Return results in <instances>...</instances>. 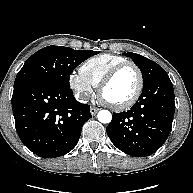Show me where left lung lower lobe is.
I'll return each mask as SVG.
<instances>
[{"label":"left lung lower lobe","instance_id":"obj_1","mask_svg":"<svg viewBox=\"0 0 193 193\" xmlns=\"http://www.w3.org/2000/svg\"><path fill=\"white\" fill-rule=\"evenodd\" d=\"M175 112L174 90L167 73L157 76L127 112L113 113L106 131L124 153L145 157L155 153L168 138Z\"/></svg>","mask_w":193,"mask_h":193}]
</instances>
